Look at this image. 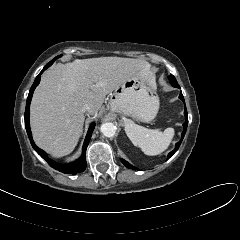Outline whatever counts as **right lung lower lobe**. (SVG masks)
Segmentation results:
<instances>
[{"label": "right lung lower lobe", "mask_w": 240, "mask_h": 240, "mask_svg": "<svg viewBox=\"0 0 240 240\" xmlns=\"http://www.w3.org/2000/svg\"><path fill=\"white\" fill-rule=\"evenodd\" d=\"M54 61H55V59H53L52 61H50L48 64L45 65L43 70L36 77L32 87L29 91V95H28L27 102H26V109H25V127H26L27 134L29 136L30 142L32 144V147L42 158H44L50 164L51 167L55 168L56 170H58L62 173H65V174H76V173H79V172H83L86 169L87 163H86V159H85V154H86V149H87V146L89 144L93 129L95 127V123H91V125L88 129V132H87L84 144H83V148H82V156L78 160H76V161H74V162H72L68 165L58 164L55 161L48 158L47 154L34 144L33 139H32V135H31V131H30L29 114H30V102H31V98H32V95H33V91L40 82V75L48 67H50L53 64Z\"/></svg>", "instance_id": "1"}]
</instances>
